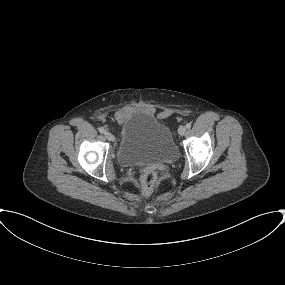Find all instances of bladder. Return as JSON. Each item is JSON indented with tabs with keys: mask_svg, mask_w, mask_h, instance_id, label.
<instances>
[{
	"mask_svg": "<svg viewBox=\"0 0 285 285\" xmlns=\"http://www.w3.org/2000/svg\"><path fill=\"white\" fill-rule=\"evenodd\" d=\"M179 151L170 128L153 114L136 111L122 126L118 160L123 166L173 163Z\"/></svg>",
	"mask_w": 285,
	"mask_h": 285,
	"instance_id": "bladder-1",
	"label": "bladder"
}]
</instances>
